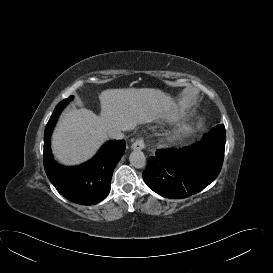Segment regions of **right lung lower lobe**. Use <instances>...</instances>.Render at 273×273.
<instances>
[{
  "label": "right lung lower lobe",
  "instance_id": "right-lung-lower-lobe-1",
  "mask_svg": "<svg viewBox=\"0 0 273 273\" xmlns=\"http://www.w3.org/2000/svg\"><path fill=\"white\" fill-rule=\"evenodd\" d=\"M65 106L60 102L46 125L44 168L51 183L66 199L81 205H94L102 201L110 191L114 168L125 152V141L107 142L93 159L82 165L74 167L59 165L51 152L50 137Z\"/></svg>",
  "mask_w": 273,
  "mask_h": 273
}]
</instances>
